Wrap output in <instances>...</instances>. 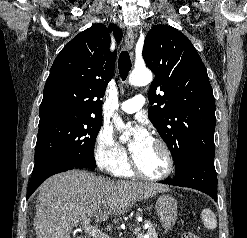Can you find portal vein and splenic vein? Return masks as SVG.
Returning a JSON list of instances; mask_svg holds the SVG:
<instances>
[{
    "instance_id": "obj_1",
    "label": "portal vein and splenic vein",
    "mask_w": 247,
    "mask_h": 238,
    "mask_svg": "<svg viewBox=\"0 0 247 238\" xmlns=\"http://www.w3.org/2000/svg\"><path fill=\"white\" fill-rule=\"evenodd\" d=\"M80 229H82L85 233H88L89 235H92L93 237L96 238H107V235H105L104 233H102L99 229H96L95 227L91 226L89 224V221L86 220L83 223H81ZM141 231L140 227H136L133 230V234H137ZM147 238V237H145Z\"/></svg>"
}]
</instances>
